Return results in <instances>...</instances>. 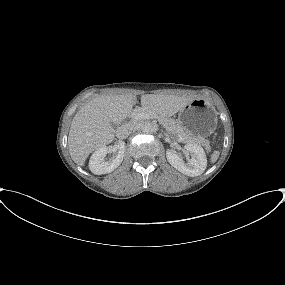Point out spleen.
Instances as JSON below:
<instances>
[{"mask_svg":"<svg viewBox=\"0 0 285 285\" xmlns=\"http://www.w3.org/2000/svg\"><path fill=\"white\" fill-rule=\"evenodd\" d=\"M220 152L219 151H214V153L211 155V162L214 163L217 161L219 158Z\"/></svg>","mask_w":285,"mask_h":285,"instance_id":"3e777b00","label":"spleen"}]
</instances>
